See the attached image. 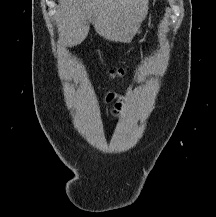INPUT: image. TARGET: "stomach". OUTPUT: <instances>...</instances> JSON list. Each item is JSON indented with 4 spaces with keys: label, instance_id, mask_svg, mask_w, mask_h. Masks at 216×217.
I'll return each instance as SVG.
<instances>
[{
    "label": "stomach",
    "instance_id": "1",
    "mask_svg": "<svg viewBox=\"0 0 216 217\" xmlns=\"http://www.w3.org/2000/svg\"><path fill=\"white\" fill-rule=\"evenodd\" d=\"M140 26L141 25H139V27H138V29H137V31L135 32V34H139L141 31H140Z\"/></svg>",
    "mask_w": 216,
    "mask_h": 217
}]
</instances>
